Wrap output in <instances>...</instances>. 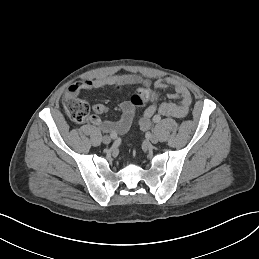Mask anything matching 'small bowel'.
<instances>
[{
  "instance_id": "obj_1",
  "label": "small bowel",
  "mask_w": 259,
  "mask_h": 259,
  "mask_svg": "<svg viewBox=\"0 0 259 259\" xmlns=\"http://www.w3.org/2000/svg\"><path fill=\"white\" fill-rule=\"evenodd\" d=\"M142 84L149 89L152 88L150 94V104L145 108L142 118L140 119V127L147 130L150 127V121L157 112L165 116L183 118L190 109L192 96L190 91L175 79L168 78L166 80H155L153 83L134 74H121L114 76L101 77L94 80H86L69 86L66 92V98L76 97L82 91H91L103 89L106 87L120 88L126 85ZM172 87L174 92L169 94L170 99H178L179 103L171 101L162 103L157 109V94L154 90ZM95 114L91 115L89 120L92 124L98 126L102 131L116 134H124L130 128L134 115L135 106L131 101H124L120 104L122 115L117 121L102 120L98 115L108 112V107L104 104H95L92 107Z\"/></svg>"
}]
</instances>
